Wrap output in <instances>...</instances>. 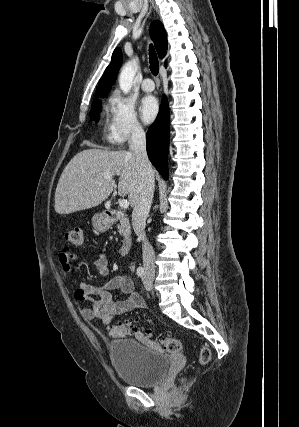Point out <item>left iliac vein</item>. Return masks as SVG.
I'll use <instances>...</instances> for the list:
<instances>
[{"instance_id":"left-iliac-vein-1","label":"left iliac vein","mask_w":299,"mask_h":427,"mask_svg":"<svg viewBox=\"0 0 299 427\" xmlns=\"http://www.w3.org/2000/svg\"><path fill=\"white\" fill-rule=\"evenodd\" d=\"M143 281H144V284H145L146 289H147V290H150V289H149V287L147 286L146 278H144V279H143Z\"/></svg>"}]
</instances>
